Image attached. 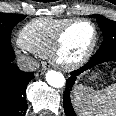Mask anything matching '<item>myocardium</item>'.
<instances>
[{"label":"myocardium","instance_id":"1","mask_svg":"<svg viewBox=\"0 0 116 116\" xmlns=\"http://www.w3.org/2000/svg\"><path fill=\"white\" fill-rule=\"evenodd\" d=\"M78 23H87L91 26L93 30L92 40L89 46L87 47L86 51L83 53V55L80 58H78L73 62H65L61 58L64 37L66 33L69 31V29ZM97 42H98V30H97V26L93 21L86 18L71 19L58 31L49 53L50 61L55 67L63 71H72L78 69L83 65H85L90 60L97 46Z\"/></svg>","mask_w":116,"mask_h":116}]
</instances>
